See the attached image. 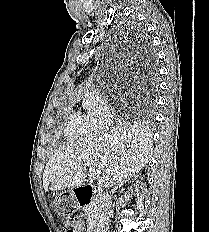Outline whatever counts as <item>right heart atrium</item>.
<instances>
[{
  "mask_svg": "<svg viewBox=\"0 0 209 232\" xmlns=\"http://www.w3.org/2000/svg\"><path fill=\"white\" fill-rule=\"evenodd\" d=\"M86 110L88 125L92 132L104 130L114 122V112L107 99L101 95H90L86 101Z\"/></svg>",
  "mask_w": 209,
  "mask_h": 232,
  "instance_id": "d8ad5b80",
  "label": "right heart atrium"
}]
</instances>
